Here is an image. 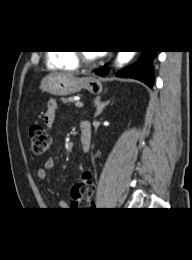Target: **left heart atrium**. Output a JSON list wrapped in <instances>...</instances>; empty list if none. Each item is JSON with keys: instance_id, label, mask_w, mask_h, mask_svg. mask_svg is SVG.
Masks as SVG:
<instances>
[{"instance_id": "left-heart-atrium-1", "label": "left heart atrium", "mask_w": 192, "mask_h": 260, "mask_svg": "<svg viewBox=\"0 0 192 260\" xmlns=\"http://www.w3.org/2000/svg\"><path fill=\"white\" fill-rule=\"evenodd\" d=\"M96 54H97V55H100V54H101V52H97Z\"/></svg>"}]
</instances>
